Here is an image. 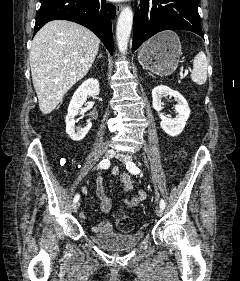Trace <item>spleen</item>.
<instances>
[{"label": "spleen", "mask_w": 240, "mask_h": 281, "mask_svg": "<svg viewBox=\"0 0 240 281\" xmlns=\"http://www.w3.org/2000/svg\"><path fill=\"white\" fill-rule=\"evenodd\" d=\"M208 62L204 52H199L193 60L191 79L198 85H203L207 80Z\"/></svg>", "instance_id": "spleen-1"}]
</instances>
